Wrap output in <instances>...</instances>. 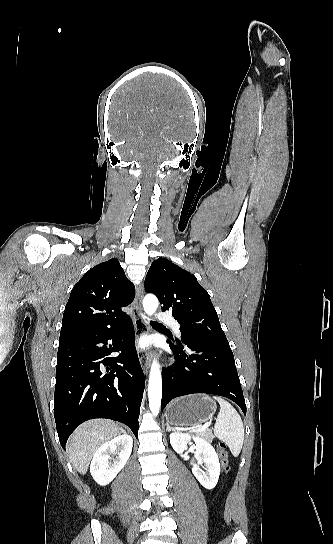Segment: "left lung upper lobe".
<instances>
[{"instance_id": "1", "label": "left lung upper lobe", "mask_w": 333, "mask_h": 544, "mask_svg": "<svg viewBox=\"0 0 333 544\" xmlns=\"http://www.w3.org/2000/svg\"><path fill=\"white\" fill-rule=\"evenodd\" d=\"M145 289L155 294L162 311L172 310L179 322L181 340L211 338L227 341L208 292L190 272L165 258L153 261L145 278Z\"/></svg>"}]
</instances>
